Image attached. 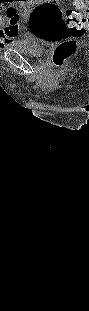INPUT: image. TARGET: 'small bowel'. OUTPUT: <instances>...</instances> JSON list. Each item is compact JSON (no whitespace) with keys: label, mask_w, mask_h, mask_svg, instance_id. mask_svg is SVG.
Wrapping results in <instances>:
<instances>
[{"label":"small bowel","mask_w":89,"mask_h":311,"mask_svg":"<svg viewBox=\"0 0 89 311\" xmlns=\"http://www.w3.org/2000/svg\"><path fill=\"white\" fill-rule=\"evenodd\" d=\"M18 32L19 27H17V29H10V28L5 29L2 36L4 40L3 46H6L9 42L14 41L18 36Z\"/></svg>","instance_id":"small-bowel-1"}]
</instances>
